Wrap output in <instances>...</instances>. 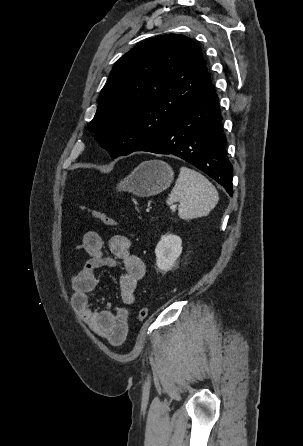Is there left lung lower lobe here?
Masks as SVG:
<instances>
[{
  "label": "left lung lower lobe",
  "mask_w": 303,
  "mask_h": 446,
  "mask_svg": "<svg viewBox=\"0 0 303 446\" xmlns=\"http://www.w3.org/2000/svg\"><path fill=\"white\" fill-rule=\"evenodd\" d=\"M221 120L218 97L211 82L187 104L163 135L135 151L176 155L205 172L232 196L233 170Z\"/></svg>",
  "instance_id": "1"
}]
</instances>
